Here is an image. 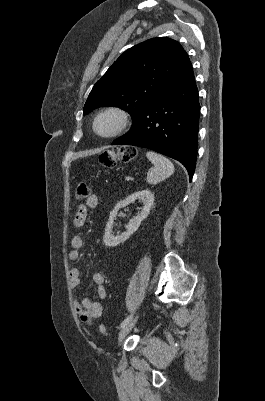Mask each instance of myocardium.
<instances>
[{
    "label": "myocardium",
    "instance_id": "1",
    "mask_svg": "<svg viewBox=\"0 0 265 401\" xmlns=\"http://www.w3.org/2000/svg\"><path fill=\"white\" fill-rule=\"evenodd\" d=\"M106 115L114 116L117 120V126L111 133H109L107 135H102V134L98 133L96 126H97V122L99 121V119ZM128 119H129V114L124 108H121L118 106H109V107L101 110L94 117L93 122H92L93 134L96 137L101 138V139L113 138V137L119 135L124 130V128L126 127V125L128 123Z\"/></svg>",
    "mask_w": 265,
    "mask_h": 401
}]
</instances>
